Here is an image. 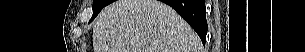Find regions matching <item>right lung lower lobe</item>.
<instances>
[{"label": "right lung lower lobe", "instance_id": "right-lung-lower-lobe-1", "mask_svg": "<svg viewBox=\"0 0 305 52\" xmlns=\"http://www.w3.org/2000/svg\"><path fill=\"white\" fill-rule=\"evenodd\" d=\"M162 2L174 8L197 32L203 44H205L206 34L208 30L205 0H161ZM113 1L110 0V3Z\"/></svg>", "mask_w": 305, "mask_h": 52}]
</instances>
